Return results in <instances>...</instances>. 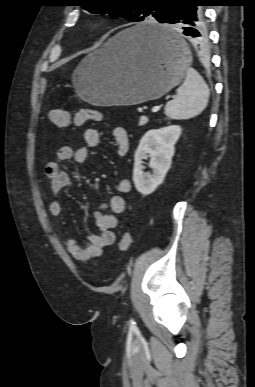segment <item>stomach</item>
<instances>
[{
  "label": "stomach",
  "instance_id": "0dacf381",
  "mask_svg": "<svg viewBox=\"0 0 255 387\" xmlns=\"http://www.w3.org/2000/svg\"><path fill=\"white\" fill-rule=\"evenodd\" d=\"M153 29L164 30L152 22L127 28L83 59L72 75L78 96L100 106L134 105L181 83L191 59L187 44L170 31L179 45L168 52L144 37L143 31Z\"/></svg>",
  "mask_w": 255,
  "mask_h": 387
}]
</instances>
